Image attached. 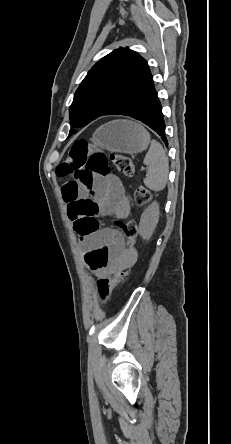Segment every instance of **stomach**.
<instances>
[{
  "mask_svg": "<svg viewBox=\"0 0 231 444\" xmlns=\"http://www.w3.org/2000/svg\"><path fill=\"white\" fill-rule=\"evenodd\" d=\"M91 141L112 152L136 154L148 147L150 135L136 122L115 120L99 127Z\"/></svg>",
  "mask_w": 231,
  "mask_h": 444,
  "instance_id": "1",
  "label": "stomach"
}]
</instances>
